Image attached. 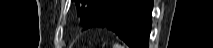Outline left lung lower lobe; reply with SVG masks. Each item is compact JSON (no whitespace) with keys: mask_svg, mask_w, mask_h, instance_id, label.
I'll return each mask as SVG.
<instances>
[{"mask_svg":"<svg viewBox=\"0 0 213 48\" xmlns=\"http://www.w3.org/2000/svg\"><path fill=\"white\" fill-rule=\"evenodd\" d=\"M152 0H111L84 25L114 31L130 48H149Z\"/></svg>","mask_w":213,"mask_h":48,"instance_id":"1","label":"left lung lower lobe"}]
</instances>
